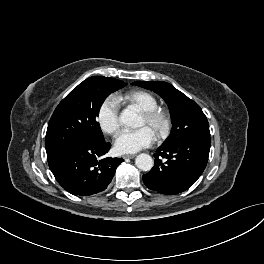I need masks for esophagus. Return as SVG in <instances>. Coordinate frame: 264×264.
I'll list each match as a JSON object with an SVG mask.
<instances>
[{"label":"esophagus","instance_id":"34e87169","mask_svg":"<svg viewBox=\"0 0 264 264\" xmlns=\"http://www.w3.org/2000/svg\"><path fill=\"white\" fill-rule=\"evenodd\" d=\"M136 155L135 154H127V155H124L123 158L124 159H133Z\"/></svg>","mask_w":264,"mask_h":264}]
</instances>
